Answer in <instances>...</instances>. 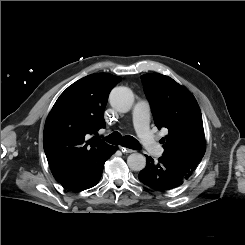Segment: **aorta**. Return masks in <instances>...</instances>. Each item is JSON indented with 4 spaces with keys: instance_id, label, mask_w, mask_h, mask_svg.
<instances>
[{
    "instance_id": "762f6f07",
    "label": "aorta",
    "mask_w": 245,
    "mask_h": 245,
    "mask_svg": "<svg viewBox=\"0 0 245 245\" xmlns=\"http://www.w3.org/2000/svg\"><path fill=\"white\" fill-rule=\"evenodd\" d=\"M110 105L118 112H128L134 102L132 91L127 87L114 88L109 96ZM127 164L133 171H141L146 166V158L140 153H133L128 156Z\"/></svg>"
}]
</instances>
